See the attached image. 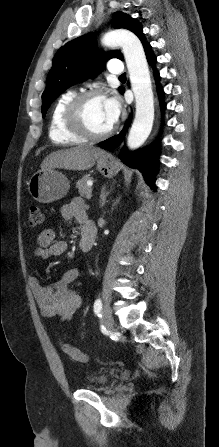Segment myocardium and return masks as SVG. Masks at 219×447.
Listing matches in <instances>:
<instances>
[{"instance_id": "1", "label": "myocardium", "mask_w": 219, "mask_h": 447, "mask_svg": "<svg viewBox=\"0 0 219 447\" xmlns=\"http://www.w3.org/2000/svg\"><path fill=\"white\" fill-rule=\"evenodd\" d=\"M94 99H104V95L97 90L76 94L67 104L63 114L66 127L76 135L87 140H101L110 136L114 127L103 132L93 131L86 123L84 112L87 104Z\"/></svg>"}]
</instances>
